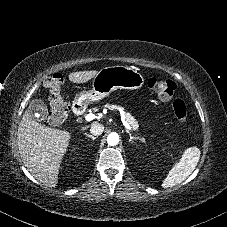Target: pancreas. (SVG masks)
Wrapping results in <instances>:
<instances>
[{
	"instance_id": "pancreas-1",
	"label": "pancreas",
	"mask_w": 227,
	"mask_h": 227,
	"mask_svg": "<svg viewBox=\"0 0 227 227\" xmlns=\"http://www.w3.org/2000/svg\"><path fill=\"white\" fill-rule=\"evenodd\" d=\"M105 107L109 108V109H118L117 106L109 105V104H106ZM124 118L134 130H138L139 129L138 122L136 121V119L130 113H124Z\"/></svg>"
}]
</instances>
